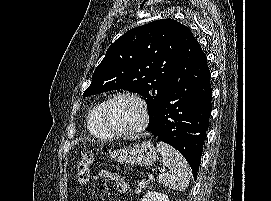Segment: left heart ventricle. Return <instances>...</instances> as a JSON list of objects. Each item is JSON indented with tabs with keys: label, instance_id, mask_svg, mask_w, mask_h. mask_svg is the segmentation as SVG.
Instances as JSON below:
<instances>
[{
	"label": "left heart ventricle",
	"instance_id": "left-heart-ventricle-1",
	"mask_svg": "<svg viewBox=\"0 0 271 201\" xmlns=\"http://www.w3.org/2000/svg\"><path fill=\"white\" fill-rule=\"evenodd\" d=\"M109 118L118 130L129 131L140 124L142 112L139 105L133 99L119 97L109 106Z\"/></svg>",
	"mask_w": 271,
	"mask_h": 201
}]
</instances>
